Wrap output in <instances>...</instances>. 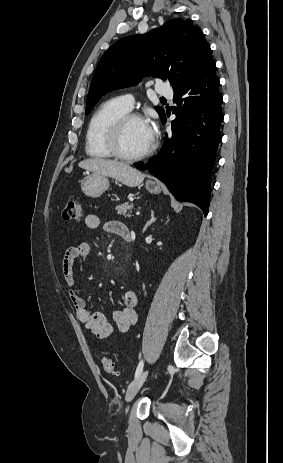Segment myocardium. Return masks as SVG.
I'll list each match as a JSON object with an SVG mask.
<instances>
[{"label": "myocardium", "instance_id": "obj_1", "mask_svg": "<svg viewBox=\"0 0 283 463\" xmlns=\"http://www.w3.org/2000/svg\"><path fill=\"white\" fill-rule=\"evenodd\" d=\"M132 120L145 121L144 116L137 112H127L118 117L109 127L106 135V146L112 156L123 161H139L150 156L154 150V142L151 143L148 149L139 154L130 155L121 149V136L126 125Z\"/></svg>", "mask_w": 283, "mask_h": 463}]
</instances>
